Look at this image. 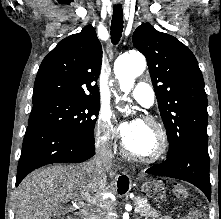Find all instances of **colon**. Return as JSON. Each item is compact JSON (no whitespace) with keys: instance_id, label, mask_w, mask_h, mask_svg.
Segmentation results:
<instances>
[{"instance_id":"obj_1","label":"colon","mask_w":221,"mask_h":219,"mask_svg":"<svg viewBox=\"0 0 221 219\" xmlns=\"http://www.w3.org/2000/svg\"><path fill=\"white\" fill-rule=\"evenodd\" d=\"M178 197L179 198H184V190L182 188H178ZM185 219H206L205 214L197 209L191 210Z\"/></svg>"}]
</instances>
